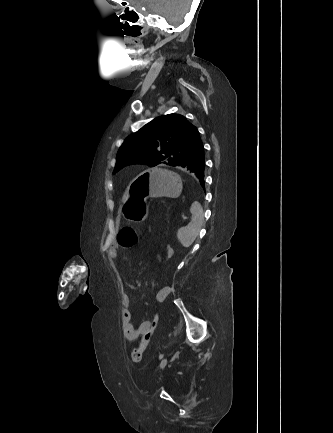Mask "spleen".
Returning a JSON list of instances; mask_svg holds the SVG:
<instances>
[{"label": "spleen", "instance_id": "spleen-1", "mask_svg": "<svg viewBox=\"0 0 333 433\" xmlns=\"http://www.w3.org/2000/svg\"><path fill=\"white\" fill-rule=\"evenodd\" d=\"M190 211L193 215L192 220L187 226L180 228L177 233V238L184 247L193 244L203 223L202 209L197 202L192 204Z\"/></svg>", "mask_w": 333, "mask_h": 433}]
</instances>
